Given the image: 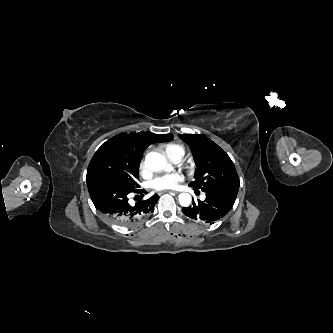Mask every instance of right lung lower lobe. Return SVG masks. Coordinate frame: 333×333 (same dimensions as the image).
Listing matches in <instances>:
<instances>
[{
	"instance_id": "1",
	"label": "right lung lower lobe",
	"mask_w": 333,
	"mask_h": 333,
	"mask_svg": "<svg viewBox=\"0 0 333 333\" xmlns=\"http://www.w3.org/2000/svg\"><path fill=\"white\" fill-rule=\"evenodd\" d=\"M86 182L96 209L107 219L123 227L133 226L149 216L159 198L155 194L147 200L140 199L135 204H130L128 202L130 193H137L143 197L147 192L140 189V186L128 188L105 178H92Z\"/></svg>"
}]
</instances>
